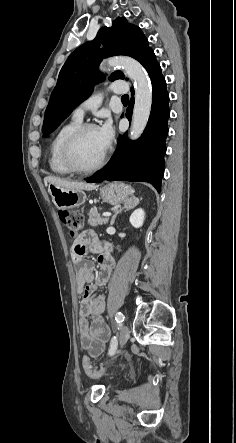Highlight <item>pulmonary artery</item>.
Here are the masks:
<instances>
[{"mask_svg":"<svg viewBox=\"0 0 236 443\" xmlns=\"http://www.w3.org/2000/svg\"><path fill=\"white\" fill-rule=\"evenodd\" d=\"M110 90L115 94H121L125 91L123 87V83L116 81L113 82ZM101 103V97L99 95H95L90 97L89 99L83 101L81 104H79L72 112L73 118L82 120L83 116L85 115V112L90 109L97 108Z\"/></svg>","mask_w":236,"mask_h":443,"instance_id":"obj_1","label":"pulmonary artery"}]
</instances>
